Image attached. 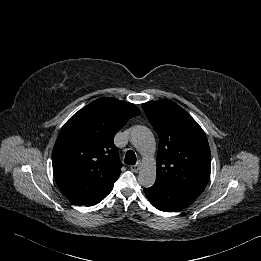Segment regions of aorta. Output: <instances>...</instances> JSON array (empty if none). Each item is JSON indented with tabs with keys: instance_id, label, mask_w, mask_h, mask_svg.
<instances>
[{
	"instance_id": "1",
	"label": "aorta",
	"mask_w": 261,
	"mask_h": 261,
	"mask_svg": "<svg viewBox=\"0 0 261 261\" xmlns=\"http://www.w3.org/2000/svg\"><path fill=\"white\" fill-rule=\"evenodd\" d=\"M130 140L143 157L138 181L143 187L149 188L153 186L156 180V163L153 159L156 149L154 135L145 126H135L131 131Z\"/></svg>"
}]
</instances>
